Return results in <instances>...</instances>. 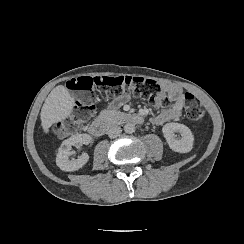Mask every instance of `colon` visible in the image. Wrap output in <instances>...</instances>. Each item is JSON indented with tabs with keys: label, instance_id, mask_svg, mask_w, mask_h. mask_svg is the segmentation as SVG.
<instances>
[{
	"label": "colon",
	"instance_id": "1",
	"mask_svg": "<svg viewBox=\"0 0 244 244\" xmlns=\"http://www.w3.org/2000/svg\"><path fill=\"white\" fill-rule=\"evenodd\" d=\"M72 89L79 90L82 95L79 102L80 107L75 108L69 120L63 122L60 126L54 127L55 134L62 136L72 135L79 129L78 122L82 123L88 120V106L94 105L98 100V93L95 88L101 90L100 95L104 99L122 98L128 92L136 98L148 99L156 102L160 106H166L169 103L166 93L159 87L153 79L141 76L121 75L116 77L87 74L84 77L71 80L69 83ZM185 115L189 120L201 121L204 117L203 106L200 101L188 93L185 96Z\"/></svg>",
	"mask_w": 244,
	"mask_h": 244
}]
</instances>
